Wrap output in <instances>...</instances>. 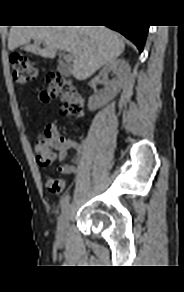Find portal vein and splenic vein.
Listing matches in <instances>:
<instances>
[{
	"label": "portal vein and splenic vein",
	"instance_id": "1",
	"mask_svg": "<svg viewBox=\"0 0 184 292\" xmlns=\"http://www.w3.org/2000/svg\"><path fill=\"white\" fill-rule=\"evenodd\" d=\"M63 58L67 62L72 61V55L71 54H63Z\"/></svg>",
	"mask_w": 184,
	"mask_h": 292
}]
</instances>
